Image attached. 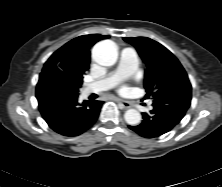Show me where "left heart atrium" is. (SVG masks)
Segmentation results:
<instances>
[{
	"label": "left heart atrium",
	"instance_id": "1",
	"mask_svg": "<svg viewBox=\"0 0 222 187\" xmlns=\"http://www.w3.org/2000/svg\"><path fill=\"white\" fill-rule=\"evenodd\" d=\"M127 91H128V87H127V86H122V87L120 88V92H121V93H127Z\"/></svg>",
	"mask_w": 222,
	"mask_h": 187
}]
</instances>
